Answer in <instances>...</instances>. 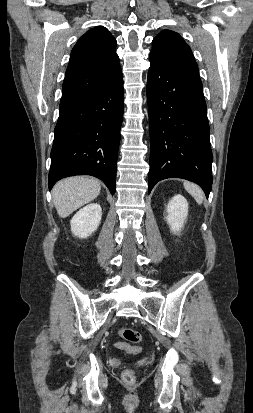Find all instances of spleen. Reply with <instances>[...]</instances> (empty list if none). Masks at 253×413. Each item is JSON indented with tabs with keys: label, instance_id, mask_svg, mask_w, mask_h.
<instances>
[{
	"label": "spleen",
	"instance_id": "3e777b00",
	"mask_svg": "<svg viewBox=\"0 0 253 413\" xmlns=\"http://www.w3.org/2000/svg\"><path fill=\"white\" fill-rule=\"evenodd\" d=\"M185 190L196 200L198 204H202L204 200V193L202 189L189 181L183 183Z\"/></svg>",
	"mask_w": 253,
	"mask_h": 413
}]
</instances>
